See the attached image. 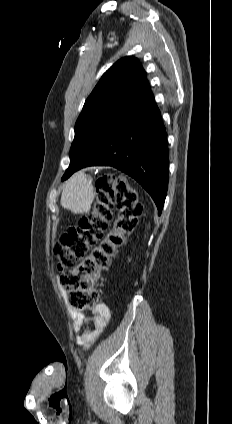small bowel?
I'll use <instances>...</instances> for the list:
<instances>
[{
    "label": "small bowel",
    "mask_w": 232,
    "mask_h": 424,
    "mask_svg": "<svg viewBox=\"0 0 232 424\" xmlns=\"http://www.w3.org/2000/svg\"><path fill=\"white\" fill-rule=\"evenodd\" d=\"M73 327L78 333L77 343L85 348L90 347L107 326L111 314L108 306L98 303L89 313L72 310Z\"/></svg>",
    "instance_id": "1"
}]
</instances>
